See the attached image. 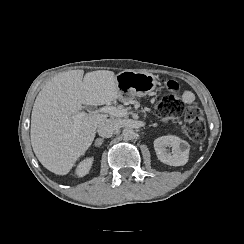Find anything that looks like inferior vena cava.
I'll return each instance as SVG.
<instances>
[{
  "label": "inferior vena cava",
  "mask_w": 244,
  "mask_h": 244,
  "mask_svg": "<svg viewBox=\"0 0 244 244\" xmlns=\"http://www.w3.org/2000/svg\"><path fill=\"white\" fill-rule=\"evenodd\" d=\"M118 130L117 123L112 119H105L99 123L97 132L101 137H111Z\"/></svg>",
  "instance_id": "602c4592"
}]
</instances>
